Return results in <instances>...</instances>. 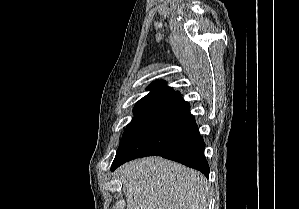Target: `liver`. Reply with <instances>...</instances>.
<instances>
[{"label":"liver","mask_w":299,"mask_h":209,"mask_svg":"<svg viewBox=\"0 0 299 209\" xmlns=\"http://www.w3.org/2000/svg\"><path fill=\"white\" fill-rule=\"evenodd\" d=\"M126 209H207L209 186L200 173L161 157L124 164L118 170Z\"/></svg>","instance_id":"6515ba94"}]
</instances>
